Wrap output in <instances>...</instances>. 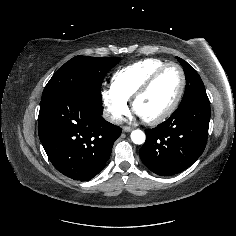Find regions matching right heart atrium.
<instances>
[{"label": "right heart atrium", "instance_id": "d8ad5b80", "mask_svg": "<svg viewBox=\"0 0 236 236\" xmlns=\"http://www.w3.org/2000/svg\"><path fill=\"white\" fill-rule=\"evenodd\" d=\"M101 99L108 117L115 121L128 111V100L121 96L112 86L103 88Z\"/></svg>", "mask_w": 236, "mask_h": 236}]
</instances>
